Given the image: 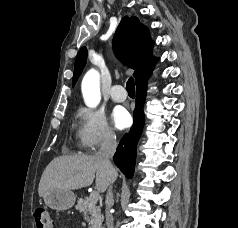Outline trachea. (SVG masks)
Returning <instances> with one entry per match:
<instances>
[{
	"label": "trachea",
	"instance_id": "trachea-1",
	"mask_svg": "<svg viewBox=\"0 0 238 228\" xmlns=\"http://www.w3.org/2000/svg\"><path fill=\"white\" fill-rule=\"evenodd\" d=\"M126 90L129 95L135 96V84L132 77H130L127 81Z\"/></svg>",
	"mask_w": 238,
	"mask_h": 228
}]
</instances>
